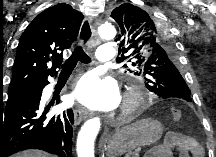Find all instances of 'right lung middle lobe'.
<instances>
[{
	"label": "right lung middle lobe",
	"instance_id": "1",
	"mask_svg": "<svg viewBox=\"0 0 216 157\" xmlns=\"http://www.w3.org/2000/svg\"><path fill=\"white\" fill-rule=\"evenodd\" d=\"M27 89V88H26ZM25 89L18 90V91H13V92H8V99L7 102L17 98L20 93H22Z\"/></svg>",
	"mask_w": 216,
	"mask_h": 157
}]
</instances>
